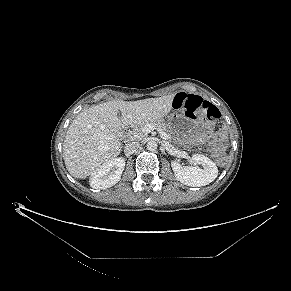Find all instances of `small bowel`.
<instances>
[{
    "label": "small bowel",
    "mask_w": 291,
    "mask_h": 291,
    "mask_svg": "<svg viewBox=\"0 0 291 291\" xmlns=\"http://www.w3.org/2000/svg\"><path fill=\"white\" fill-rule=\"evenodd\" d=\"M183 94H185V95H192V96H196V95H194V94H186V93H183Z\"/></svg>",
    "instance_id": "1"
}]
</instances>
